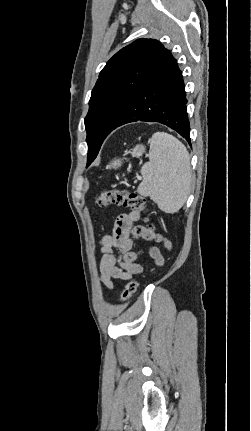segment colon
<instances>
[{"label": "colon", "instance_id": "5ec220e1", "mask_svg": "<svg viewBox=\"0 0 251 431\" xmlns=\"http://www.w3.org/2000/svg\"><path fill=\"white\" fill-rule=\"evenodd\" d=\"M97 204L101 207L108 205L122 206L136 212H142L147 207L146 200L143 197L133 192L118 189L103 191L97 199ZM148 229L152 232L156 231V227L152 224L148 225ZM138 285L137 279L130 280L121 293V300L123 302L129 301L136 292Z\"/></svg>", "mask_w": 251, "mask_h": 431}]
</instances>
